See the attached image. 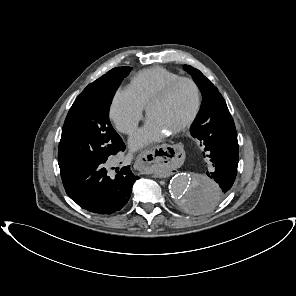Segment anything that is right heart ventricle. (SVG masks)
Segmentation results:
<instances>
[{"instance_id":"e07e8e85","label":"right heart ventricle","mask_w":296,"mask_h":296,"mask_svg":"<svg viewBox=\"0 0 296 296\" xmlns=\"http://www.w3.org/2000/svg\"><path fill=\"white\" fill-rule=\"evenodd\" d=\"M178 78H181L179 74L166 68L150 67L134 75L126 90L142 107H146L155 95Z\"/></svg>"}]
</instances>
